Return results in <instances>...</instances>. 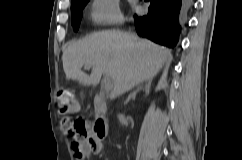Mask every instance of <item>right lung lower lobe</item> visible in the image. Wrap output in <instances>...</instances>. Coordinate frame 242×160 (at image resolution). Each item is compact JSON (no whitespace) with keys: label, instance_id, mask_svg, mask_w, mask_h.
Masks as SVG:
<instances>
[{"label":"right lung lower lobe","instance_id":"obj_1","mask_svg":"<svg viewBox=\"0 0 242 160\" xmlns=\"http://www.w3.org/2000/svg\"><path fill=\"white\" fill-rule=\"evenodd\" d=\"M150 2L148 14L134 16L139 35L164 46L174 47L180 31L179 20L192 5L193 0H145Z\"/></svg>","mask_w":242,"mask_h":160}]
</instances>
